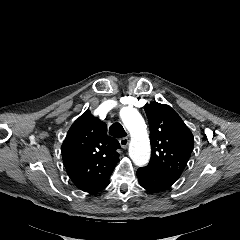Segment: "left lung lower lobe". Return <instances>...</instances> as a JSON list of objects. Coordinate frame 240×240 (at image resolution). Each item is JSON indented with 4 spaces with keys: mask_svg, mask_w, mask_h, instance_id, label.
Listing matches in <instances>:
<instances>
[{
    "mask_svg": "<svg viewBox=\"0 0 240 240\" xmlns=\"http://www.w3.org/2000/svg\"><path fill=\"white\" fill-rule=\"evenodd\" d=\"M140 185L152 192H161L172 187L176 182L153 167L146 166L137 170Z\"/></svg>",
    "mask_w": 240,
    "mask_h": 240,
    "instance_id": "obj_1",
    "label": "left lung lower lobe"
}]
</instances>
